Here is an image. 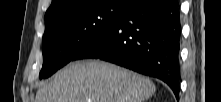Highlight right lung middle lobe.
<instances>
[{
	"label": "right lung middle lobe",
	"mask_w": 221,
	"mask_h": 102,
	"mask_svg": "<svg viewBox=\"0 0 221 102\" xmlns=\"http://www.w3.org/2000/svg\"><path fill=\"white\" fill-rule=\"evenodd\" d=\"M130 0H84L45 20L41 78L51 76L116 24Z\"/></svg>",
	"instance_id": "1"
}]
</instances>
